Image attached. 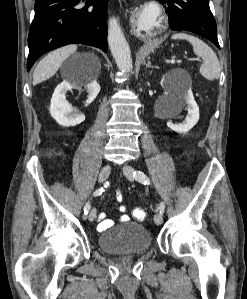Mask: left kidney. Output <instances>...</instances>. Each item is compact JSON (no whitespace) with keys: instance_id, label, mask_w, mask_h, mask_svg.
<instances>
[{"instance_id":"left-kidney-1","label":"left kidney","mask_w":247,"mask_h":299,"mask_svg":"<svg viewBox=\"0 0 247 299\" xmlns=\"http://www.w3.org/2000/svg\"><path fill=\"white\" fill-rule=\"evenodd\" d=\"M184 104H187L188 108L185 120L181 124H173L171 121L167 122V126L171 130L180 134L189 132L199 120V107L194 100L191 88H187L185 91L177 94H170V101L166 108L168 115L173 116L178 114Z\"/></svg>"}]
</instances>
